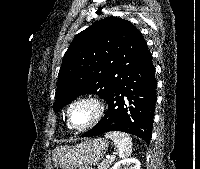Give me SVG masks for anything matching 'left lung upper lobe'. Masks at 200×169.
I'll use <instances>...</instances> for the list:
<instances>
[{"label":"left lung upper lobe","instance_id":"5c2ea615","mask_svg":"<svg viewBox=\"0 0 200 169\" xmlns=\"http://www.w3.org/2000/svg\"><path fill=\"white\" fill-rule=\"evenodd\" d=\"M146 52L142 34L130 21L110 16L92 24L64 55L54 110L82 94L106 99Z\"/></svg>","mask_w":200,"mask_h":169}]
</instances>
